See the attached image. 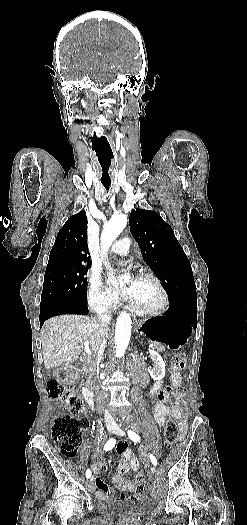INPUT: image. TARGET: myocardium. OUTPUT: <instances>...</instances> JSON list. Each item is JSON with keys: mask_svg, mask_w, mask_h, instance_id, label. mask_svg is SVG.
Here are the masks:
<instances>
[{"mask_svg": "<svg viewBox=\"0 0 247 525\" xmlns=\"http://www.w3.org/2000/svg\"><path fill=\"white\" fill-rule=\"evenodd\" d=\"M132 262V265L133 267H136V264L131 260ZM140 277H145V278H150L152 279L155 284L157 285V287L159 288V290L161 291L162 293V296H163V299H162V302L157 305V306H148L140 301H133V304L137 305L140 310L142 311L143 314H147V315H156V314H159V313H162L168 306L169 304V296H168V293L166 291V288L164 287V285L162 284L161 280L158 278V276L151 272V271H141L140 274H139Z\"/></svg>", "mask_w": 247, "mask_h": 525, "instance_id": "1", "label": "myocardium"}]
</instances>
